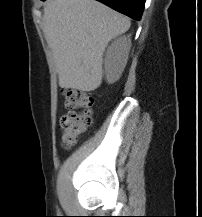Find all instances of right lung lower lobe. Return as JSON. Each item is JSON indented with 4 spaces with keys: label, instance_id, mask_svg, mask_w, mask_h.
Returning a JSON list of instances; mask_svg holds the SVG:
<instances>
[{
    "label": "right lung lower lobe",
    "instance_id": "1",
    "mask_svg": "<svg viewBox=\"0 0 202 217\" xmlns=\"http://www.w3.org/2000/svg\"><path fill=\"white\" fill-rule=\"evenodd\" d=\"M135 20H140L146 0H97Z\"/></svg>",
    "mask_w": 202,
    "mask_h": 217
}]
</instances>
